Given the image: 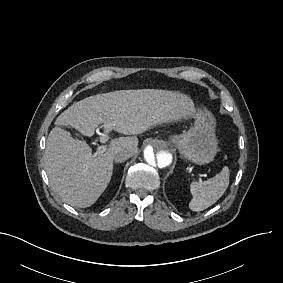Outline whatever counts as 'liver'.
<instances>
[{
    "mask_svg": "<svg viewBox=\"0 0 283 283\" xmlns=\"http://www.w3.org/2000/svg\"><path fill=\"white\" fill-rule=\"evenodd\" d=\"M195 112L189 96L159 89L119 90L74 103L57 117L46 143L45 167L53 191L71 206H91L111 180L114 150L129 147L135 154L138 146L136 136L120 137L105 152L93 155L85 141L58 126L91 137L101 123L110 121L115 131L137 135L152 126L193 118Z\"/></svg>",
    "mask_w": 283,
    "mask_h": 283,
    "instance_id": "obj_1",
    "label": "liver"
}]
</instances>
